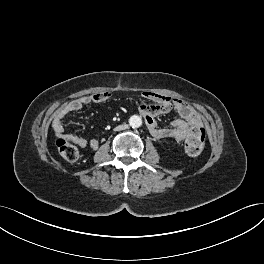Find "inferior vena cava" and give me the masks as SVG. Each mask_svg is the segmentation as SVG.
<instances>
[{
  "instance_id": "1",
  "label": "inferior vena cava",
  "mask_w": 264,
  "mask_h": 264,
  "mask_svg": "<svg viewBox=\"0 0 264 264\" xmlns=\"http://www.w3.org/2000/svg\"><path fill=\"white\" fill-rule=\"evenodd\" d=\"M127 129H129V124L115 126V131H122V130H127Z\"/></svg>"
}]
</instances>
